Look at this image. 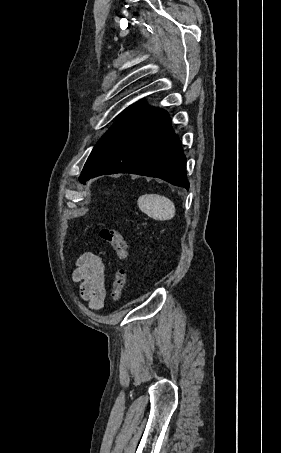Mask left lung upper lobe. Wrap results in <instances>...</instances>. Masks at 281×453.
Wrapping results in <instances>:
<instances>
[{
  "label": "left lung upper lobe",
  "mask_w": 281,
  "mask_h": 453,
  "mask_svg": "<svg viewBox=\"0 0 281 453\" xmlns=\"http://www.w3.org/2000/svg\"><path fill=\"white\" fill-rule=\"evenodd\" d=\"M136 106H131L129 108H127L120 116V118L118 119V121L113 125V127L111 129H109L105 135L99 140V142L96 144V146L94 147V149L92 150L86 164H88L92 159L93 157L98 153V151L102 148V146L105 144V142L107 141V139L110 137V135L113 133V131L129 116V114L135 109ZM85 164V165H86Z\"/></svg>",
  "instance_id": "left-lung-upper-lobe-1"
}]
</instances>
